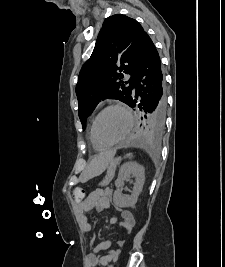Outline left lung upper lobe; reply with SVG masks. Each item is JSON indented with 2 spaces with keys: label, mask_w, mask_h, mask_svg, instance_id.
<instances>
[{
  "label": "left lung upper lobe",
  "mask_w": 225,
  "mask_h": 267,
  "mask_svg": "<svg viewBox=\"0 0 225 267\" xmlns=\"http://www.w3.org/2000/svg\"><path fill=\"white\" fill-rule=\"evenodd\" d=\"M147 35L139 22L122 14L104 21L93 53L83 65L76 85L83 129L87 117L101 100L117 99L130 105L134 72ZM123 73L131 75L127 82L122 81ZM164 123H156L152 115L141 117L143 130L155 135L163 131Z\"/></svg>",
  "instance_id": "5c2ea615"
}]
</instances>
